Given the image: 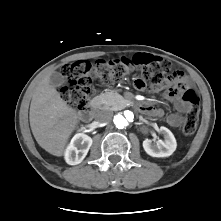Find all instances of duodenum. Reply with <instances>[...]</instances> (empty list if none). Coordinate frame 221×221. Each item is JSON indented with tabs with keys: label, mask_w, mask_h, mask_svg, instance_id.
<instances>
[{
	"label": "duodenum",
	"mask_w": 221,
	"mask_h": 221,
	"mask_svg": "<svg viewBox=\"0 0 221 221\" xmlns=\"http://www.w3.org/2000/svg\"><path fill=\"white\" fill-rule=\"evenodd\" d=\"M98 104H99V98L97 96L93 97L90 101L89 108L86 110H83L80 113L81 119L83 121H88L92 117V114H93L94 110L97 108ZM138 109L140 111H145V109L143 107H139Z\"/></svg>",
	"instance_id": "1"
}]
</instances>
